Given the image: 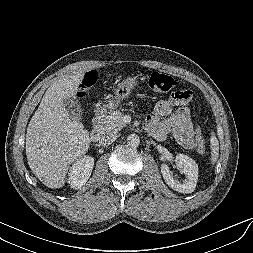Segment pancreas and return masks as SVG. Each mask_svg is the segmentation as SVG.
<instances>
[{
	"mask_svg": "<svg viewBox=\"0 0 253 253\" xmlns=\"http://www.w3.org/2000/svg\"><path fill=\"white\" fill-rule=\"evenodd\" d=\"M126 124L120 111H113L101 126L102 134H117Z\"/></svg>",
	"mask_w": 253,
	"mask_h": 253,
	"instance_id": "pancreas-1",
	"label": "pancreas"
}]
</instances>
